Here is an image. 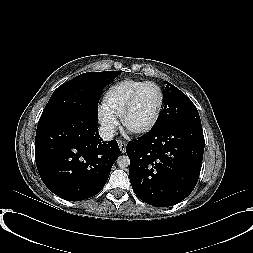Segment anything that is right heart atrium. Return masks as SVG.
<instances>
[{
    "instance_id": "d8ad5b80",
    "label": "right heart atrium",
    "mask_w": 253,
    "mask_h": 253,
    "mask_svg": "<svg viewBox=\"0 0 253 253\" xmlns=\"http://www.w3.org/2000/svg\"><path fill=\"white\" fill-rule=\"evenodd\" d=\"M98 122L106 136H112L118 125V118L115 114L100 106L97 111Z\"/></svg>"
}]
</instances>
